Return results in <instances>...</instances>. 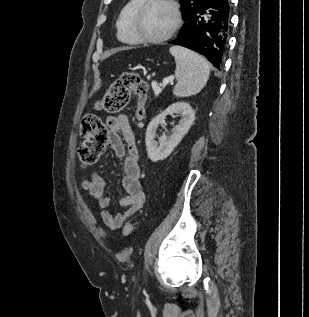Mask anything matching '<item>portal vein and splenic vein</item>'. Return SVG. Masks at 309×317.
<instances>
[{
	"instance_id": "1",
	"label": "portal vein and splenic vein",
	"mask_w": 309,
	"mask_h": 317,
	"mask_svg": "<svg viewBox=\"0 0 309 317\" xmlns=\"http://www.w3.org/2000/svg\"><path fill=\"white\" fill-rule=\"evenodd\" d=\"M168 83H171V84H172L173 81H172L171 79H169V78H166V79L163 80L162 86L164 87V86H165L166 84H168ZM152 88H153V90H154L155 93L161 92V88L158 86V84H157L156 81H153V82H152Z\"/></svg>"
}]
</instances>
